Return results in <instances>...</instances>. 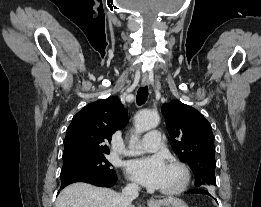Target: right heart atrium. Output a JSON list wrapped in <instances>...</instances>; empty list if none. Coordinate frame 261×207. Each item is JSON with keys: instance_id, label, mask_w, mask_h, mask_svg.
<instances>
[{"instance_id": "obj_1", "label": "right heart atrium", "mask_w": 261, "mask_h": 207, "mask_svg": "<svg viewBox=\"0 0 261 207\" xmlns=\"http://www.w3.org/2000/svg\"><path fill=\"white\" fill-rule=\"evenodd\" d=\"M128 187H130V188H136V184H135L134 182H130V183L128 184Z\"/></svg>"}]
</instances>
